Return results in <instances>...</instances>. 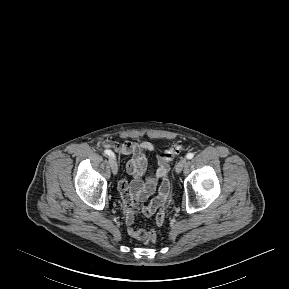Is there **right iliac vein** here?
I'll return each instance as SVG.
<instances>
[{
    "mask_svg": "<svg viewBox=\"0 0 289 289\" xmlns=\"http://www.w3.org/2000/svg\"><path fill=\"white\" fill-rule=\"evenodd\" d=\"M109 164H110V167H111L113 174L116 175L118 172L117 162L115 161V159L109 158Z\"/></svg>",
    "mask_w": 289,
    "mask_h": 289,
    "instance_id": "1",
    "label": "right iliac vein"
}]
</instances>
